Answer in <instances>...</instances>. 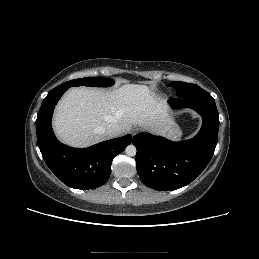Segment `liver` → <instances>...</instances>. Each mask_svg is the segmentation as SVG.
Instances as JSON below:
<instances>
[{
    "instance_id": "liver-1",
    "label": "liver",
    "mask_w": 259,
    "mask_h": 259,
    "mask_svg": "<svg viewBox=\"0 0 259 259\" xmlns=\"http://www.w3.org/2000/svg\"><path fill=\"white\" fill-rule=\"evenodd\" d=\"M172 123L164 99L149 87L126 84L105 91L88 87L71 88L58 103L53 127L58 138L74 147H87L108 139L103 130L118 124L122 133L138 125L164 135Z\"/></svg>"
}]
</instances>
